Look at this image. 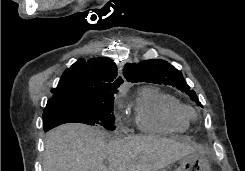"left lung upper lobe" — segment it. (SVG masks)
Masks as SVG:
<instances>
[{
	"label": "left lung upper lobe",
	"mask_w": 245,
	"mask_h": 171,
	"mask_svg": "<svg viewBox=\"0 0 245 171\" xmlns=\"http://www.w3.org/2000/svg\"><path fill=\"white\" fill-rule=\"evenodd\" d=\"M123 74L132 83L147 82L176 87L190 96L196 104L202 106L195 92L190 90L182 73L164 60H146L139 64L127 65Z\"/></svg>",
	"instance_id": "obj_1"
}]
</instances>
